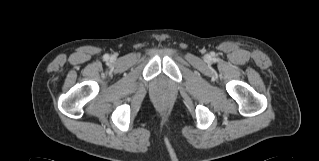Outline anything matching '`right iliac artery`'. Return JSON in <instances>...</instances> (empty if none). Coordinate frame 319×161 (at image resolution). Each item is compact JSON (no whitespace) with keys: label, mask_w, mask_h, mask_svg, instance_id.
I'll list each match as a JSON object with an SVG mask.
<instances>
[{"label":"right iliac artery","mask_w":319,"mask_h":161,"mask_svg":"<svg viewBox=\"0 0 319 161\" xmlns=\"http://www.w3.org/2000/svg\"><path fill=\"white\" fill-rule=\"evenodd\" d=\"M104 59H105V60L109 59V55H108V54H105V55H104Z\"/></svg>","instance_id":"1"}]
</instances>
